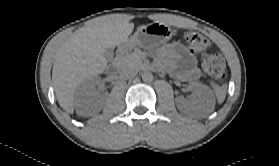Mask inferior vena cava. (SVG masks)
<instances>
[{"mask_svg": "<svg viewBox=\"0 0 279 166\" xmlns=\"http://www.w3.org/2000/svg\"><path fill=\"white\" fill-rule=\"evenodd\" d=\"M137 75V72L133 69H127L126 71L122 72V76L126 79L134 78Z\"/></svg>", "mask_w": 279, "mask_h": 166, "instance_id": "602c4592", "label": "inferior vena cava"}]
</instances>
